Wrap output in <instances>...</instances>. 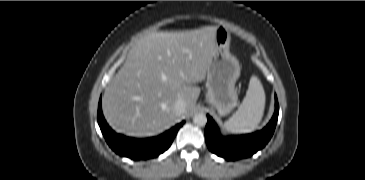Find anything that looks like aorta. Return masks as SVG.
Segmentation results:
<instances>
[{"label": "aorta", "instance_id": "1", "mask_svg": "<svg viewBox=\"0 0 365 180\" xmlns=\"http://www.w3.org/2000/svg\"><path fill=\"white\" fill-rule=\"evenodd\" d=\"M193 122L198 126H205L207 123V116L203 113H198L193 117Z\"/></svg>", "mask_w": 365, "mask_h": 180}]
</instances>
